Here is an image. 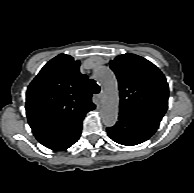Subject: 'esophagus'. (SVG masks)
Listing matches in <instances>:
<instances>
[{"label": "esophagus", "instance_id": "esophagus-1", "mask_svg": "<svg viewBox=\"0 0 194 193\" xmlns=\"http://www.w3.org/2000/svg\"><path fill=\"white\" fill-rule=\"evenodd\" d=\"M98 98H99L100 101H102V99H103V92H101V93L98 95Z\"/></svg>", "mask_w": 194, "mask_h": 193}]
</instances>
